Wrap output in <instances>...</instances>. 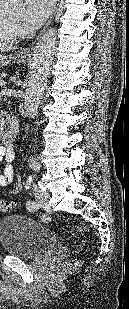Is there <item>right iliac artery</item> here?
Wrapping results in <instances>:
<instances>
[{
	"mask_svg": "<svg viewBox=\"0 0 129 309\" xmlns=\"http://www.w3.org/2000/svg\"><path fill=\"white\" fill-rule=\"evenodd\" d=\"M31 183H32V178L31 176H29V178L27 179V188L31 186Z\"/></svg>",
	"mask_w": 129,
	"mask_h": 309,
	"instance_id": "right-iliac-artery-1",
	"label": "right iliac artery"
}]
</instances>
